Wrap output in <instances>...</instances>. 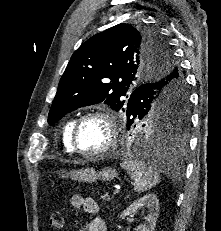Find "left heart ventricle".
I'll return each instance as SVG.
<instances>
[{"label":"left heart ventricle","instance_id":"obj_1","mask_svg":"<svg viewBox=\"0 0 221 231\" xmlns=\"http://www.w3.org/2000/svg\"><path fill=\"white\" fill-rule=\"evenodd\" d=\"M109 127L100 117L85 120L78 130V147L87 152L96 151L104 147L109 139Z\"/></svg>","mask_w":221,"mask_h":231}]
</instances>
